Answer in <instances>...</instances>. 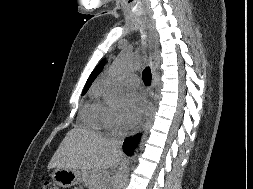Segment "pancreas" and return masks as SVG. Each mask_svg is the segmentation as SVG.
Returning a JSON list of instances; mask_svg holds the SVG:
<instances>
[{
	"mask_svg": "<svg viewBox=\"0 0 253 189\" xmlns=\"http://www.w3.org/2000/svg\"><path fill=\"white\" fill-rule=\"evenodd\" d=\"M81 175L83 183L90 189H104V178L98 171L84 168Z\"/></svg>",
	"mask_w": 253,
	"mask_h": 189,
	"instance_id": "1",
	"label": "pancreas"
}]
</instances>
